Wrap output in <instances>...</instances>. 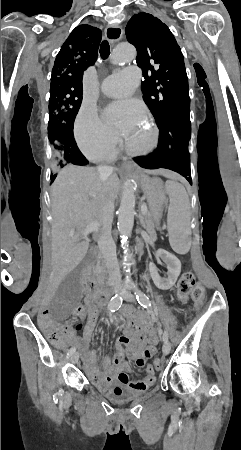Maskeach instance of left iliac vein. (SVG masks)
<instances>
[{
    "label": "left iliac vein",
    "instance_id": "left-iliac-vein-1",
    "mask_svg": "<svg viewBox=\"0 0 241 450\" xmlns=\"http://www.w3.org/2000/svg\"><path fill=\"white\" fill-rule=\"evenodd\" d=\"M124 299H125L126 301H128V302H133V301L135 300V299H134V296H133V294H132L131 292H126V293L124 294ZM170 349H171L170 343H169L168 341H166V342L164 343V345H163V348H162L163 354H164V355H168L169 352H170Z\"/></svg>",
    "mask_w": 241,
    "mask_h": 450
}]
</instances>
